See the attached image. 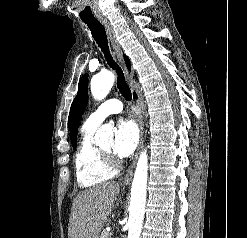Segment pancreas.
<instances>
[{"instance_id": "1", "label": "pancreas", "mask_w": 247, "mask_h": 238, "mask_svg": "<svg viewBox=\"0 0 247 238\" xmlns=\"http://www.w3.org/2000/svg\"><path fill=\"white\" fill-rule=\"evenodd\" d=\"M100 238H111V235H110L109 232L103 231V232L101 233Z\"/></svg>"}]
</instances>
